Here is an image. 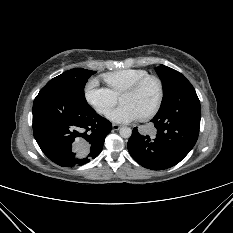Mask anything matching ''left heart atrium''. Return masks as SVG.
I'll list each match as a JSON object with an SVG mask.
<instances>
[{
    "label": "left heart atrium",
    "instance_id": "39dd6f15",
    "mask_svg": "<svg viewBox=\"0 0 233 233\" xmlns=\"http://www.w3.org/2000/svg\"><path fill=\"white\" fill-rule=\"evenodd\" d=\"M108 118L114 122L126 123L140 118L137 110L130 104H121L108 113Z\"/></svg>",
    "mask_w": 233,
    "mask_h": 233
}]
</instances>
